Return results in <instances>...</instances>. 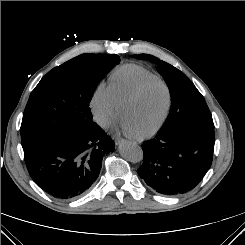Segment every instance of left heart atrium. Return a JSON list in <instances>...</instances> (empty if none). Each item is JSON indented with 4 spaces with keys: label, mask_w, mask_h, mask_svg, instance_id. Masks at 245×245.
Wrapping results in <instances>:
<instances>
[{
    "label": "left heart atrium",
    "mask_w": 245,
    "mask_h": 245,
    "mask_svg": "<svg viewBox=\"0 0 245 245\" xmlns=\"http://www.w3.org/2000/svg\"><path fill=\"white\" fill-rule=\"evenodd\" d=\"M120 126L121 128L129 135L131 136H136V133L129 127V125L127 124V122L125 121V119L122 117V119L120 120Z\"/></svg>",
    "instance_id": "left-heart-atrium-1"
}]
</instances>
